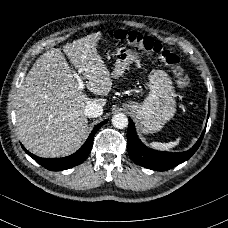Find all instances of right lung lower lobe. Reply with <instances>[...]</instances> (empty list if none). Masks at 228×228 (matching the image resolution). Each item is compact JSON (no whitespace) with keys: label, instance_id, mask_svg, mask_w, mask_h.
<instances>
[{"label":"right lung lower lobe","instance_id":"98d812e1","mask_svg":"<svg viewBox=\"0 0 228 228\" xmlns=\"http://www.w3.org/2000/svg\"><path fill=\"white\" fill-rule=\"evenodd\" d=\"M107 122V120L98 124L92 130L90 136L86 140L85 144L74 154L64 157V158H41L38 156L33 155L29 151H27L23 146L22 148L24 151L33 158L37 163L42 165L44 168L51 170V171H61L65 169L72 168L84 162L88 155L91 152L93 139L95 133Z\"/></svg>","mask_w":228,"mask_h":228}]
</instances>
